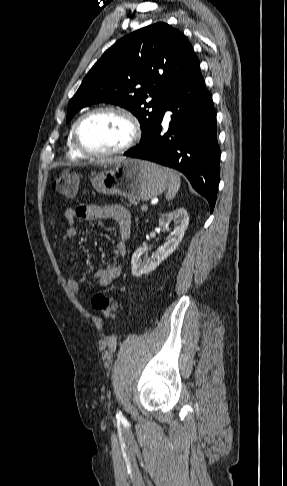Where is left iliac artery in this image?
Listing matches in <instances>:
<instances>
[{"mask_svg": "<svg viewBox=\"0 0 287 486\" xmlns=\"http://www.w3.org/2000/svg\"><path fill=\"white\" fill-rule=\"evenodd\" d=\"M120 416H122V414H121V412H118L117 417H120Z\"/></svg>", "mask_w": 287, "mask_h": 486, "instance_id": "left-iliac-artery-1", "label": "left iliac artery"}]
</instances>
